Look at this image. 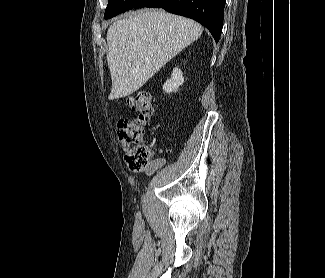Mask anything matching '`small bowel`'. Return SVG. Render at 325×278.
Masks as SVG:
<instances>
[{
    "label": "small bowel",
    "mask_w": 325,
    "mask_h": 278,
    "mask_svg": "<svg viewBox=\"0 0 325 278\" xmlns=\"http://www.w3.org/2000/svg\"><path fill=\"white\" fill-rule=\"evenodd\" d=\"M165 163L164 158H154L152 159L144 169V173L146 175H151L155 172L159 167H161Z\"/></svg>",
    "instance_id": "small-bowel-1"
}]
</instances>
